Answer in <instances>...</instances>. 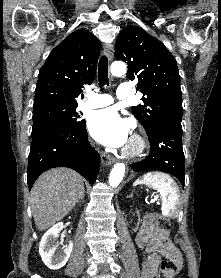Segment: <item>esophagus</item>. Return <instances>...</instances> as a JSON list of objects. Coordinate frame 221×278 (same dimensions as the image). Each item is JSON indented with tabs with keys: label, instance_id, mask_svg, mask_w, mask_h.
<instances>
[{
	"label": "esophagus",
	"instance_id": "esophagus-1",
	"mask_svg": "<svg viewBox=\"0 0 221 278\" xmlns=\"http://www.w3.org/2000/svg\"><path fill=\"white\" fill-rule=\"evenodd\" d=\"M104 50H105V53H106L108 59L112 60L113 55H114L113 44H110V43L105 44ZM101 161H102L103 165L107 166V165L113 164L116 161V159L111 155L102 153L101 154Z\"/></svg>",
	"mask_w": 221,
	"mask_h": 278
}]
</instances>
